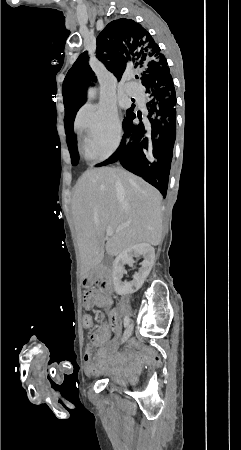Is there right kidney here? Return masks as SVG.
<instances>
[{"label": "right kidney", "mask_w": 241, "mask_h": 450, "mask_svg": "<svg viewBox=\"0 0 241 450\" xmlns=\"http://www.w3.org/2000/svg\"><path fill=\"white\" fill-rule=\"evenodd\" d=\"M140 256L144 258L141 262L142 268L137 274H134L132 282H122V276L126 274L125 264H134L133 258H140ZM154 260L155 250L150 244H136V246H130L123 250L113 262L112 274L116 294L123 296V294H134L140 290L152 270Z\"/></svg>", "instance_id": "obj_1"}]
</instances>
